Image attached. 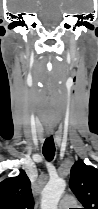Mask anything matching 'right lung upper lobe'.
<instances>
[{"label":"right lung upper lobe","instance_id":"cb5924a9","mask_svg":"<svg viewBox=\"0 0 98 209\" xmlns=\"http://www.w3.org/2000/svg\"><path fill=\"white\" fill-rule=\"evenodd\" d=\"M31 183L22 170L17 177L0 182V209H33Z\"/></svg>","mask_w":98,"mask_h":209}]
</instances>
